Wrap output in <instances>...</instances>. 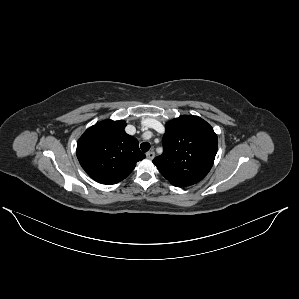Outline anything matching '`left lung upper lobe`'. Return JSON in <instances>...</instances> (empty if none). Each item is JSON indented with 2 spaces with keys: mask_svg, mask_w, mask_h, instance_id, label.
I'll use <instances>...</instances> for the list:
<instances>
[{
  "mask_svg": "<svg viewBox=\"0 0 299 299\" xmlns=\"http://www.w3.org/2000/svg\"><path fill=\"white\" fill-rule=\"evenodd\" d=\"M163 153L153 163L174 186L198 183L210 171L217 153V135L198 116H180L166 124Z\"/></svg>",
  "mask_w": 299,
  "mask_h": 299,
  "instance_id": "left-lung-upper-lobe-1",
  "label": "left lung upper lobe"
}]
</instances>
